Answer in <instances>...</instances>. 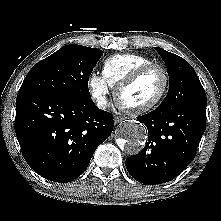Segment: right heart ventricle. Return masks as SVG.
<instances>
[{"instance_id": "right-heart-ventricle-1", "label": "right heart ventricle", "mask_w": 221, "mask_h": 221, "mask_svg": "<svg viewBox=\"0 0 221 221\" xmlns=\"http://www.w3.org/2000/svg\"><path fill=\"white\" fill-rule=\"evenodd\" d=\"M154 63V61L140 54H117L106 59L102 74L111 87H116L138 68Z\"/></svg>"}]
</instances>
